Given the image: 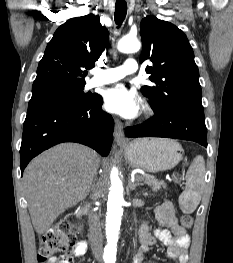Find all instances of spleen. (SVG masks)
<instances>
[{"label":"spleen","instance_id":"3e777b00","mask_svg":"<svg viewBox=\"0 0 233 263\" xmlns=\"http://www.w3.org/2000/svg\"><path fill=\"white\" fill-rule=\"evenodd\" d=\"M205 161L202 156H197L191 163L186 173V188L179 196L181 210L190 214L194 212L201 200L204 187Z\"/></svg>","mask_w":233,"mask_h":263}]
</instances>
